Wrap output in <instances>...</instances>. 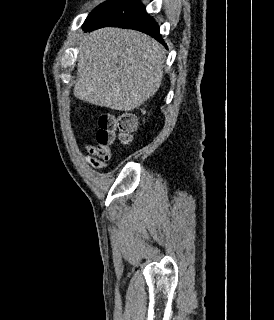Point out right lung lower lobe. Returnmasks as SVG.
I'll use <instances>...</instances> for the list:
<instances>
[{
	"label": "right lung lower lobe",
	"instance_id": "98d812e1",
	"mask_svg": "<svg viewBox=\"0 0 274 320\" xmlns=\"http://www.w3.org/2000/svg\"><path fill=\"white\" fill-rule=\"evenodd\" d=\"M105 26L135 29L144 32L164 44L159 26L152 17L147 15L145 7L139 0H124L111 12L95 22L83 26L85 31H92Z\"/></svg>",
	"mask_w": 274,
	"mask_h": 320
}]
</instances>
